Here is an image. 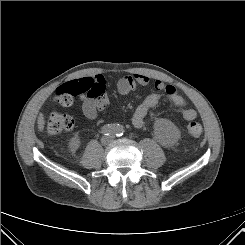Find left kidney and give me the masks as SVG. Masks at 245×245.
Wrapping results in <instances>:
<instances>
[{"mask_svg": "<svg viewBox=\"0 0 245 245\" xmlns=\"http://www.w3.org/2000/svg\"><path fill=\"white\" fill-rule=\"evenodd\" d=\"M159 138L168 145L174 144L180 137L179 129L169 120L160 119L155 124Z\"/></svg>", "mask_w": 245, "mask_h": 245, "instance_id": "obj_1", "label": "left kidney"}]
</instances>
